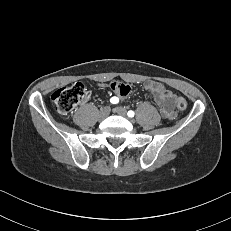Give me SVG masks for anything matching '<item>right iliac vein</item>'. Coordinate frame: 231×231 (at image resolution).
Segmentation results:
<instances>
[{
	"label": "right iliac vein",
	"instance_id": "63e3f726",
	"mask_svg": "<svg viewBox=\"0 0 231 231\" xmlns=\"http://www.w3.org/2000/svg\"><path fill=\"white\" fill-rule=\"evenodd\" d=\"M110 113V108L109 107H104L100 113H99V118L100 119H105Z\"/></svg>",
	"mask_w": 231,
	"mask_h": 231
}]
</instances>
